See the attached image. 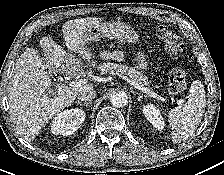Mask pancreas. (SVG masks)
Here are the masks:
<instances>
[{
    "label": "pancreas",
    "mask_w": 224,
    "mask_h": 175,
    "mask_svg": "<svg viewBox=\"0 0 224 175\" xmlns=\"http://www.w3.org/2000/svg\"><path fill=\"white\" fill-rule=\"evenodd\" d=\"M105 53L112 54L114 57H117V52L111 53L109 51H104ZM100 71L102 74H115L120 73L128 76L133 81L141 84L149 86V82L146 76H143L141 72L136 71L132 67H128L124 64H117L108 62L100 67Z\"/></svg>",
    "instance_id": "pancreas-1"
}]
</instances>
